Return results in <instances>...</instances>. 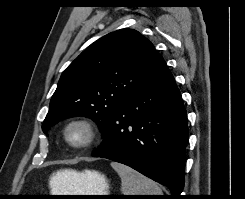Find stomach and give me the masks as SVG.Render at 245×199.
<instances>
[{
    "label": "stomach",
    "instance_id": "0dacf381",
    "mask_svg": "<svg viewBox=\"0 0 245 199\" xmlns=\"http://www.w3.org/2000/svg\"><path fill=\"white\" fill-rule=\"evenodd\" d=\"M52 182L54 192L59 193L56 195H107L109 188L107 178L91 170L58 172L52 177Z\"/></svg>",
    "mask_w": 245,
    "mask_h": 199
}]
</instances>
